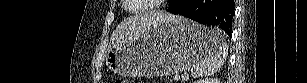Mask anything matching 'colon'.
<instances>
[{
  "instance_id": "1",
  "label": "colon",
  "mask_w": 307,
  "mask_h": 83,
  "mask_svg": "<svg viewBox=\"0 0 307 83\" xmlns=\"http://www.w3.org/2000/svg\"><path fill=\"white\" fill-rule=\"evenodd\" d=\"M130 81L127 79L119 78L115 81V83H129Z\"/></svg>"
}]
</instances>
